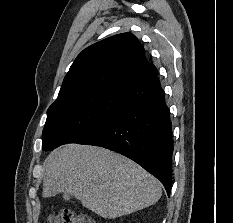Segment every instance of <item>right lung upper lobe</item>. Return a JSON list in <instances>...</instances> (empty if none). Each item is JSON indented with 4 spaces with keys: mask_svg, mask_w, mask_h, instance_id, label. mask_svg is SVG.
Returning a JSON list of instances; mask_svg holds the SVG:
<instances>
[{
    "mask_svg": "<svg viewBox=\"0 0 233 223\" xmlns=\"http://www.w3.org/2000/svg\"><path fill=\"white\" fill-rule=\"evenodd\" d=\"M145 50L130 33L99 41L84 49L64 78L59 97L94 89H126L156 76Z\"/></svg>",
    "mask_w": 233,
    "mask_h": 223,
    "instance_id": "1",
    "label": "right lung upper lobe"
}]
</instances>
